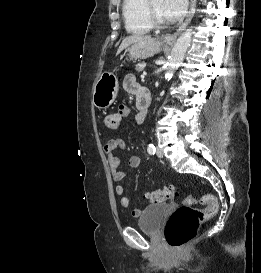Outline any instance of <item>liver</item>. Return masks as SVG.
Returning <instances> with one entry per match:
<instances>
[{
  "instance_id": "6515ba94",
  "label": "liver",
  "mask_w": 261,
  "mask_h": 273,
  "mask_svg": "<svg viewBox=\"0 0 261 273\" xmlns=\"http://www.w3.org/2000/svg\"><path fill=\"white\" fill-rule=\"evenodd\" d=\"M147 39H151V36L141 35V34H134V35L128 36L125 39H123L117 53L119 54L123 49L127 48L128 46H130L131 44L137 41L147 40Z\"/></svg>"
}]
</instances>
